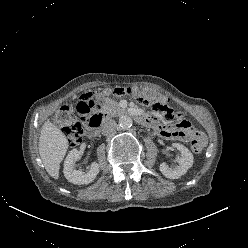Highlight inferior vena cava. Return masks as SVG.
<instances>
[{"instance_id":"obj_1","label":"inferior vena cava","mask_w":248,"mask_h":248,"mask_svg":"<svg viewBox=\"0 0 248 248\" xmlns=\"http://www.w3.org/2000/svg\"><path fill=\"white\" fill-rule=\"evenodd\" d=\"M116 122L114 120H109L105 122L102 126V134L104 136L111 135L115 132L116 129Z\"/></svg>"}]
</instances>
